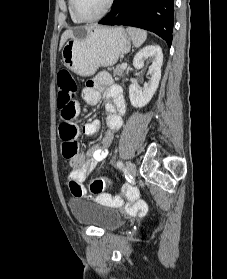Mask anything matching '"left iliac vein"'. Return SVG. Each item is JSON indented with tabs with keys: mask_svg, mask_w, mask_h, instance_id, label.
Here are the masks:
<instances>
[{
	"mask_svg": "<svg viewBox=\"0 0 227 279\" xmlns=\"http://www.w3.org/2000/svg\"><path fill=\"white\" fill-rule=\"evenodd\" d=\"M126 173L130 176V177H134L136 174V167L135 164L132 162H128L126 164Z\"/></svg>",
	"mask_w": 227,
	"mask_h": 279,
	"instance_id": "1",
	"label": "left iliac vein"
}]
</instances>
